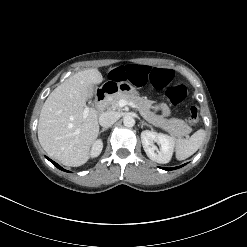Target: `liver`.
<instances>
[{"label": "liver", "instance_id": "6515ba94", "mask_svg": "<svg viewBox=\"0 0 247 247\" xmlns=\"http://www.w3.org/2000/svg\"><path fill=\"white\" fill-rule=\"evenodd\" d=\"M102 80L96 68L75 73L51 92L41 109L39 142L50 157L66 166L78 167L89 159L99 133L98 113L89 109L83 118V112Z\"/></svg>", "mask_w": 247, "mask_h": 247}]
</instances>
